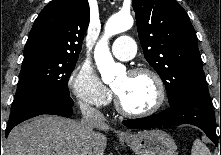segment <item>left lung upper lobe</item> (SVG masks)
Segmentation results:
<instances>
[{"label":"left lung upper lobe","mask_w":221,"mask_h":155,"mask_svg":"<svg viewBox=\"0 0 221 155\" xmlns=\"http://www.w3.org/2000/svg\"><path fill=\"white\" fill-rule=\"evenodd\" d=\"M144 56L165 84L170 105L190 89L207 86L197 36L175 0H133Z\"/></svg>","instance_id":"1"}]
</instances>
